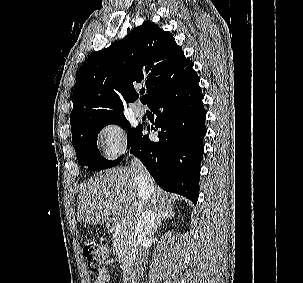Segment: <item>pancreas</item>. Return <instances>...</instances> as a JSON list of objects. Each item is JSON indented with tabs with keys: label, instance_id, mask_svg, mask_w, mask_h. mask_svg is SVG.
<instances>
[{
	"label": "pancreas",
	"instance_id": "1",
	"mask_svg": "<svg viewBox=\"0 0 303 283\" xmlns=\"http://www.w3.org/2000/svg\"><path fill=\"white\" fill-rule=\"evenodd\" d=\"M113 246L116 249L117 260L123 270H128L135 259V244L130 232L120 227L117 233L113 236Z\"/></svg>",
	"mask_w": 303,
	"mask_h": 283
}]
</instances>
